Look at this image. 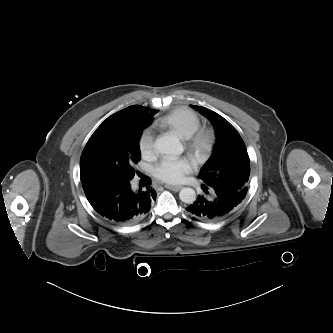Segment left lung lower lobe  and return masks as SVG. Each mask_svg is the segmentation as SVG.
<instances>
[{"label":"left lung lower lobe","mask_w":333,"mask_h":333,"mask_svg":"<svg viewBox=\"0 0 333 333\" xmlns=\"http://www.w3.org/2000/svg\"><path fill=\"white\" fill-rule=\"evenodd\" d=\"M210 189L211 195L198 196L197 200L186 208L193 216L204 221H218L232 213L243 198L235 190L225 185H203L204 192Z\"/></svg>","instance_id":"0a47b994"}]
</instances>
